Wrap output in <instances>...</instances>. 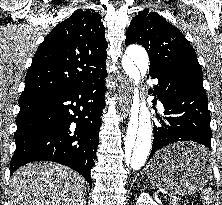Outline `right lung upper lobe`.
Masks as SVG:
<instances>
[{"instance_id": "cb5924a9", "label": "right lung upper lobe", "mask_w": 222, "mask_h": 205, "mask_svg": "<svg viewBox=\"0 0 222 205\" xmlns=\"http://www.w3.org/2000/svg\"><path fill=\"white\" fill-rule=\"evenodd\" d=\"M107 47L100 14L76 10L37 49L22 95L68 89L105 73Z\"/></svg>"}]
</instances>
